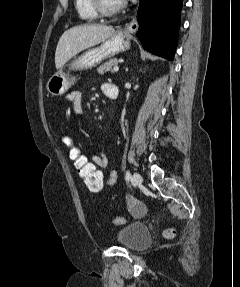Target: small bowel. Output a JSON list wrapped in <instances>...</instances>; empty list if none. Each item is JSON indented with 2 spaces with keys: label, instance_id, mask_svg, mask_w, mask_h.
Returning a JSON list of instances; mask_svg holds the SVG:
<instances>
[{
  "label": "small bowel",
  "instance_id": "c3829d8e",
  "mask_svg": "<svg viewBox=\"0 0 240 287\" xmlns=\"http://www.w3.org/2000/svg\"><path fill=\"white\" fill-rule=\"evenodd\" d=\"M111 84L104 83L101 86L102 92L107 96ZM66 100L71 103L72 111L78 117L82 114V97L80 92L71 91L66 95ZM91 160L96 164L99 169H105L108 167L109 161L105 153L100 152L99 154L93 155ZM117 178V171L111 170L108 177L104 179V184L111 185L115 182ZM125 200L131 214L138 216V212H142L143 214L146 212V206L143 202L139 201L133 195L127 194L125 196Z\"/></svg>",
  "mask_w": 240,
  "mask_h": 287
}]
</instances>
